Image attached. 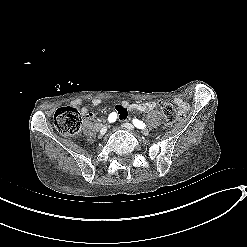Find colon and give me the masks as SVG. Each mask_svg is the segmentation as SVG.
Segmentation results:
<instances>
[{"instance_id": "colon-1", "label": "colon", "mask_w": 247, "mask_h": 247, "mask_svg": "<svg viewBox=\"0 0 247 247\" xmlns=\"http://www.w3.org/2000/svg\"><path fill=\"white\" fill-rule=\"evenodd\" d=\"M165 124L172 126L178 119L176 108L170 103H162L160 105ZM54 125L63 135L69 136L76 134L82 124V116L79 109L75 106H66L58 108L55 111Z\"/></svg>"}]
</instances>
